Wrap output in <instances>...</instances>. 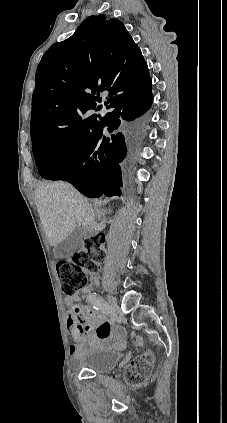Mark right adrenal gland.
Segmentation results:
<instances>
[{"instance_id": "obj_1", "label": "right adrenal gland", "mask_w": 227, "mask_h": 423, "mask_svg": "<svg viewBox=\"0 0 227 423\" xmlns=\"http://www.w3.org/2000/svg\"><path fill=\"white\" fill-rule=\"evenodd\" d=\"M97 213L100 215V213H111L112 210H100V208H97Z\"/></svg>"}]
</instances>
